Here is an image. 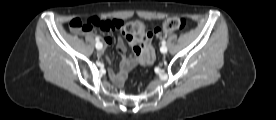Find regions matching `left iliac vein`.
<instances>
[{
    "instance_id": "1",
    "label": "left iliac vein",
    "mask_w": 276,
    "mask_h": 120,
    "mask_svg": "<svg viewBox=\"0 0 276 120\" xmlns=\"http://www.w3.org/2000/svg\"><path fill=\"white\" fill-rule=\"evenodd\" d=\"M160 50L163 54L167 53V47L166 46H162Z\"/></svg>"
}]
</instances>
